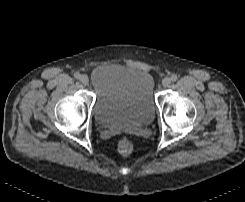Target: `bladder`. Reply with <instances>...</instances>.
I'll list each match as a JSON object with an SVG mask.
<instances>
[{
    "instance_id": "1",
    "label": "bladder",
    "mask_w": 245,
    "mask_h": 202,
    "mask_svg": "<svg viewBox=\"0 0 245 202\" xmlns=\"http://www.w3.org/2000/svg\"><path fill=\"white\" fill-rule=\"evenodd\" d=\"M95 94L93 117L102 128L153 122L158 110L149 71L120 64L95 67L90 75Z\"/></svg>"
}]
</instances>
